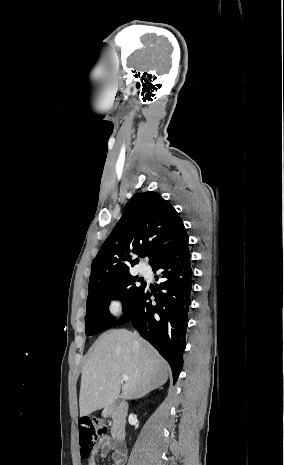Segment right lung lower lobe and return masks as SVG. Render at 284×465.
I'll use <instances>...</instances> for the list:
<instances>
[{"instance_id":"right-lung-lower-lobe-1","label":"right lung lower lobe","mask_w":284,"mask_h":465,"mask_svg":"<svg viewBox=\"0 0 284 465\" xmlns=\"http://www.w3.org/2000/svg\"><path fill=\"white\" fill-rule=\"evenodd\" d=\"M188 238L176 249L159 259L153 271L162 282L157 291L145 286L126 308L124 315L111 325L131 322L140 335L150 342L171 366L176 382L183 365L188 315L192 299L193 272ZM155 297L152 303L150 297Z\"/></svg>"}]
</instances>
